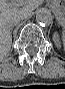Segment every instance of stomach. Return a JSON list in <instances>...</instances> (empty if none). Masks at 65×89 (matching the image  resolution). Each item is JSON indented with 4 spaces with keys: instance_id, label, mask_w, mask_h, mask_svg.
<instances>
[{
    "instance_id": "0dacf381",
    "label": "stomach",
    "mask_w": 65,
    "mask_h": 89,
    "mask_svg": "<svg viewBox=\"0 0 65 89\" xmlns=\"http://www.w3.org/2000/svg\"><path fill=\"white\" fill-rule=\"evenodd\" d=\"M50 7L54 11L59 23H65V2H52Z\"/></svg>"
}]
</instances>
